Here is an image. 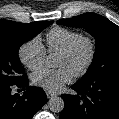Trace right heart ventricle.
<instances>
[{"label": "right heart ventricle", "instance_id": "e07e8e85", "mask_svg": "<svg viewBox=\"0 0 119 119\" xmlns=\"http://www.w3.org/2000/svg\"><path fill=\"white\" fill-rule=\"evenodd\" d=\"M81 34L75 30L55 27L46 35L47 50L50 53L61 52Z\"/></svg>", "mask_w": 119, "mask_h": 119}]
</instances>
